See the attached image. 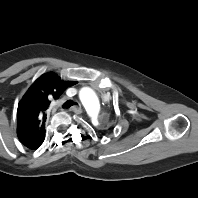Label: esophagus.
<instances>
[{"label":"esophagus","instance_id":"34e87169","mask_svg":"<svg viewBox=\"0 0 198 198\" xmlns=\"http://www.w3.org/2000/svg\"><path fill=\"white\" fill-rule=\"evenodd\" d=\"M70 111H73V112H75L76 114H80V113L83 112L81 106H73V107L70 108Z\"/></svg>","mask_w":198,"mask_h":198}]
</instances>
